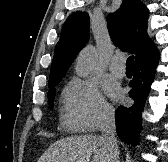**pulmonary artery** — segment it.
Segmentation results:
<instances>
[{
    "label": "pulmonary artery",
    "instance_id": "1",
    "mask_svg": "<svg viewBox=\"0 0 168 162\" xmlns=\"http://www.w3.org/2000/svg\"><path fill=\"white\" fill-rule=\"evenodd\" d=\"M109 70L113 75L117 77H123L125 75L126 70L123 65V60L118 54L112 57L109 63Z\"/></svg>",
    "mask_w": 168,
    "mask_h": 162
}]
</instances>
